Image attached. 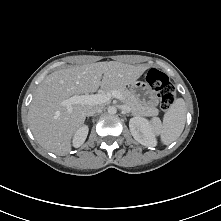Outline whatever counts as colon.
Listing matches in <instances>:
<instances>
[{
  "instance_id": "colon-1",
  "label": "colon",
  "mask_w": 221,
  "mask_h": 221,
  "mask_svg": "<svg viewBox=\"0 0 221 221\" xmlns=\"http://www.w3.org/2000/svg\"><path fill=\"white\" fill-rule=\"evenodd\" d=\"M146 80L157 93L161 109H170L175 102L176 91L168 76L158 69L152 68L148 71Z\"/></svg>"
}]
</instances>
